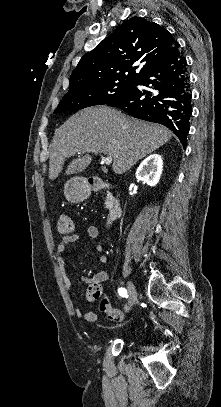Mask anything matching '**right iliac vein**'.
Returning a JSON list of instances; mask_svg holds the SVG:
<instances>
[{
    "label": "right iliac vein",
    "instance_id": "1",
    "mask_svg": "<svg viewBox=\"0 0 221 407\" xmlns=\"http://www.w3.org/2000/svg\"><path fill=\"white\" fill-rule=\"evenodd\" d=\"M127 286H128V291L130 294V301H129V306L126 310L130 311L132 309V307H134L137 304L138 293H137V290H136L134 284L130 280L127 281Z\"/></svg>",
    "mask_w": 221,
    "mask_h": 407
}]
</instances>
